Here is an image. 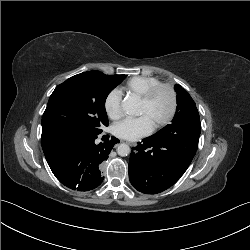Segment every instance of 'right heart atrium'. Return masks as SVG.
Segmentation results:
<instances>
[{
  "label": "right heart atrium",
  "mask_w": 250,
  "mask_h": 250,
  "mask_svg": "<svg viewBox=\"0 0 250 250\" xmlns=\"http://www.w3.org/2000/svg\"><path fill=\"white\" fill-rule=\"evenodd\" d=\"M104 110L106 115L112 120H116L121 117V93L118 90H111L106 95L104 99Z\"/></svg>",
  "instance_id": "obj_1"
}]
</instances>
